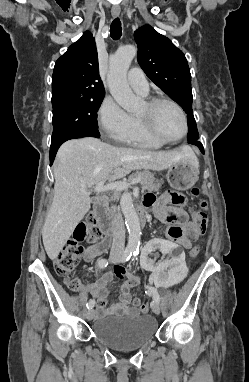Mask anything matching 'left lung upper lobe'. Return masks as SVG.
Returning a JSON list of instances; mask_svg holds the SVG:
<instances>
[{
    "instance_id": "1",
    "label": "left lung upper lobe",
    "mask_w": 249,
    "mask_h": 382,
    "mask_svg": "<svg viewBox=\"0 0 249 382\" xmlns=\"http://www.w3.org/2000/svg\"><path fill=\"white\" fill-rule=\"evenodd\" d=\"M138 62L146 75L187 114L188 142L198 139L192 111L191 74L185 55L171 40L145 25L134 33Z\"/></svg>"
}]
</instances>
